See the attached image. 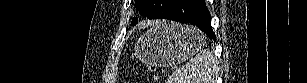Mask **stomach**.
I'll list each match as a JSON object with an SVG mask.
<instances>
[{"instance_id":"obj_1","label":"stomach","mask_w":307,"mask_h":83,"mask_svg":"<svg viewBox=\"0 0 307 83\" xmlns=\"http://www.w3.org/2000/svg\"><path fill=\"white\" fill-rule=\"evenodd\" d=\"M206 37L195 27L180 23H163L144 33L136 43L139 60L152 66L169 67L195 55Z\"/></svg>"}]
</instances>
